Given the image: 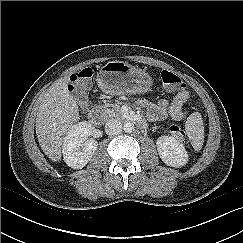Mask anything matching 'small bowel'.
I'll use <instances>...</instances> for the list:
<instances>
[{"mask_svg":"<svg viewBox=\"0 0 243 243\" xmlns=\"http://www.w3.org/2000/svg\"><path fill=\"white\" fill-rule=\"evenodd\" d=\"M188 98V91L182 90L175 95L171 102L167 99H161L158 104L149 107L148 116L154 120H165L170 118L175 121H182L187 115L183 106Z\"/></svg>","mask_w":243,"mask_h":243,"instance_id":"c3829d8e","label":"small bowel"}]
</instances>
